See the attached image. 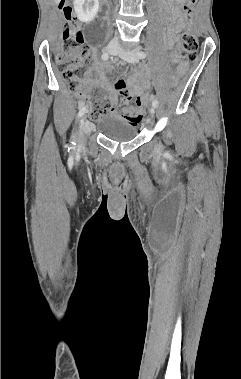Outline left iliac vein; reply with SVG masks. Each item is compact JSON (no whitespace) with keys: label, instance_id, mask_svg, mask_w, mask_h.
I'll list each match as a JSON object with an SVG mask.
<instances>
[{"label":"left iliac vein","instance_id":"obj_1","mask_svg":"<svg viewBox=\"0 0 241 379\" xmlns=\"http://www.w3.org/2000/svg\"><path fill=\"white\" fill-rule=\"evenodd\" d=\"M120 58L123 60L129 62V63H136L139 60V57L137 55V52L134 50H124V49H119L118 52L116 53ZM155 114V107H152L150 109V115L153 117Z\"/></svg>","mask_w":241,"mask_h":379}]
</instances>
